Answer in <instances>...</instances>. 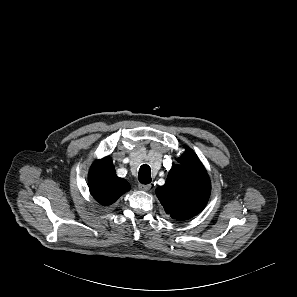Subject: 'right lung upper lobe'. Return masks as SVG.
<instances>
[{"mask_svg":"<svg viewBox=\"0 0 297 297\" xmlns=\"http://www.w3.org/2000/svg\"><path fill=\"white\" fill-rule=\"evenodd\" d=\"M88 186L92 196L103 205L114 203L130 189L129 183L116 175L110 157L93 163L88 174Z\"/></svg>","mask_w":297,"mask_h":297,"instance_id":"right-lung-upper-lobe-1","label":"right lung upper lobe"}]
</instances>
